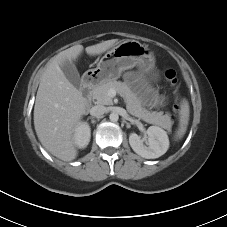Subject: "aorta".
I'll use <instances>...</instances> for the list:
<instances>
[{"instance_id": "obj_1", "label": "aorta", "mask_w": 227, "mask_h": 227, "mask_svg": "<svg viewBox=\"0 0 227 227\" xmlns=\"http://www.w3.org/2000/svg\"><path fill=\"white\" fill-rule=\"evenodd\" d=\"M110 121L117 122L119 119V115L115 112H112L109 116Z\"/></svg>"}]
</instances>
